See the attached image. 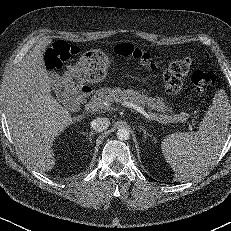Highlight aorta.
<instances>
[{
    "label": "aorta",
    "instance_id": "obj_1",
    "mask_svg": "<svg viewBox=\"0 0 231 231\" xmlns=\"http://www.w3.org/2000/svg\"><path fill=\"white\" fill-rule=\"evenodd\" d=\"M130 136L129 130L126 128H119L117 130V137L119 140H128Z\"/></svg>",
    "mask_w": 231,
    "mask_h": 231
}]
</instances>
